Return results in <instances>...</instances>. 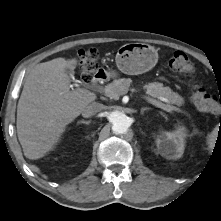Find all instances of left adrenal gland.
Listing matches in <instances>:
<instances>
[{
  "label": "left adrenal gland",
  "mask_w": 221,
  "mask_h": 221,
  "mask_svg": "<svg viewBox=\"0 0 221 221\" xmlns=\"http://www.w3.org/2000/svg\"><path fill=\"white\" fill-rule=\"evenodd\" d=\"M148 110H150V108H142V109H141V114H144V112H145V111H148Z\"/></svg>",
  "instance_id": "1"
}]
</instances>
